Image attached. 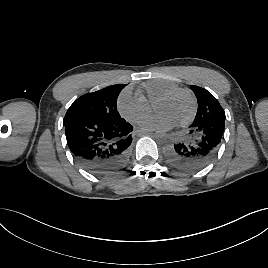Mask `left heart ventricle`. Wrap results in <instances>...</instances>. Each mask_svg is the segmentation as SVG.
Instances as JSON below:
<instances>
[{"label":"left heart ventricle","instance_id":"1","mask_svg":"<svg viewBox=\"0 0 268 268\" xmlns=\"http://www.w3.org/2000/svg\"><path fill=\"white\" fill-rule=\"evenodd\" d=\"M190 111L191 102L185 94H179L155 108L156 114L164 115L176 124L184 120Z\"/></svg>","mask_w":268,"mask_h":268}]
</instances>
